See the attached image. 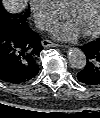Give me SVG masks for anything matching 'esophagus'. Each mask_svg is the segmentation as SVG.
Returning <instances> with one entry per match:
<instances>
[{"label":"esophagus","mask_w":100,"mask_h":118,"mask_svg":"<svg viewBox=\"0 0 100 118\" xmlns=\"http://www.w3.org/2000/svg\"><path fill=\"white\" fill-rule=\"evenodd\" d=\"M44 48L56 47L58 44L51 42L50 40L44 39L41 42Z\"/></svg>","instance_id":"1"}]
</instances>
